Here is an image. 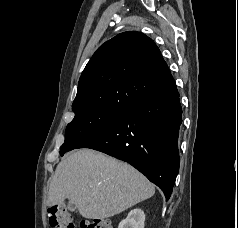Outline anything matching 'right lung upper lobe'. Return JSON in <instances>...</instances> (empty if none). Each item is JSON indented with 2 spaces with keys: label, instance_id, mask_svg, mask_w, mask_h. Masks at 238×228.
Returning a JSON list of instances; mask_svg holds the SVG:
<instances>
[{
  "label": "right lung upper lobe",
  "instance_id": "right-lung-upper-lobe-1",
  "mask_svg": "<svg viewBox=\"0 0 238 228\" xmlns=\"http://www.w3.org/2000/svg\"><path fill=\"white\" fill-rule=\"evenodd\" d=\"M174 85L154 41L140 32H124L101 45L87 63L72 110L128 108Z\"/></svg>",
  "mask_w": 238,
  "mask_h": 228
}]
</instances>
